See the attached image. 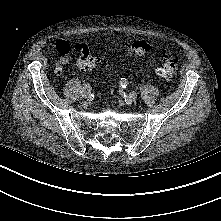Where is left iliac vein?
Returning <instances> with one entry per match:
<instances>
[{
  "mask_svg": "<svg viewBox=\"0 0 221 221\" xmlns=\"http://www.w3.org/2000/svg\"><path fill=\"white\" fill-rule=\"evenodd\" d=\"M129 98L131 99V100H136V98H137V96H138V93L136 92V91H132V92H130L129 93Z\"/></svg>",
  "mask_w": 221,
  "mask_h": 221,
  "instance_id": "left-iliac-vein-1",
  "label": "left iliac vein"
}]
</instances>
